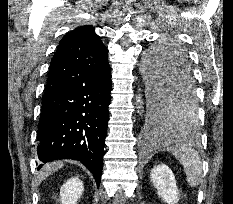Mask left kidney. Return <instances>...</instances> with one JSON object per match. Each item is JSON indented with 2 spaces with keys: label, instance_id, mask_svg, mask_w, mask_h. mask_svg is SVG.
I'll return each instance as SVG.
<instances>
[{
  "label": "left kidney",
  "instance_id": "obj_1",
  "mask_svg": "<svg viewBox=\"0 0 233 204\" xmlns=\"http://www.w3.org/2000/svg\"><path fill=\"white\" fill-rule=\"evenodd\" d=\"M151 182L157 189V194L167 204H176L179 201V190L176 186L172 170L165 164L154 166L151 171Z\"/></svg>",
  "mask_w": 233,
  "mask_h": 204
}]
</instances>
